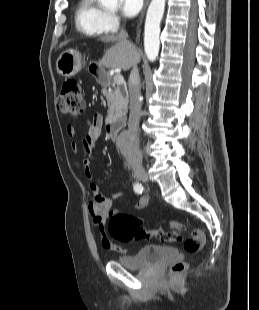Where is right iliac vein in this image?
I'll return each instance as SVG.
<instances>
[{"mask_svg": "<svg viewBox=\"0 0 259 310\" xmlns=\"http://www.w3.org/2000/svg\"><path fill=\"white\" fill-rule=\"evenodd\" d=\"M132 169L134 171L135 176L142 182H147L148 181V175L143 168L142 165L140 164H135L132 166Z\"/></svg>", "mask_w": 259, "mask_h": 310, "instance_id": "right-iliac-vein-1", "label": "right iliac vein"}]
</instances>
